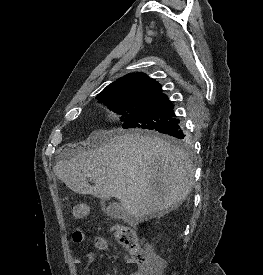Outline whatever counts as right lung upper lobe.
Listing matches in <instances>:
<instances>
[{"instance_id":"cb5924a9","label":"right lung upper lobe","mask_w":263,"mask_h":275,"mask_svg":"<svg viewBox=\"0 0 263 275\" xmlns=\"http://www.w3.org/2000/svg\"><path fill=\"white\" fill-rule=\"evenodd\" d=\"M111 92H125L136 97L165 96L155 79L142 72L131 73L108 85L99 95Z\"/></svg>"}]
</instances>
